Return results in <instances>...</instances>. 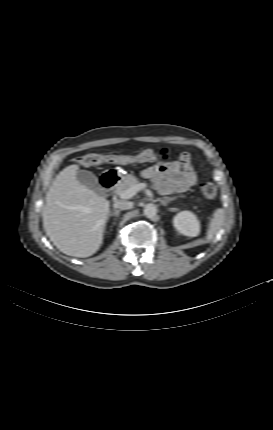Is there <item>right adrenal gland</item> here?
<instances>
[{
	"instance_id": "2a0ac1e0",
	"label": "right adrenal gland",
	"mask_w": 273,
	"mask_h": 430,
	"mask_svg": "<svg viewBox=\"0 0 273 430\" xmlns=\"http://www.w3.org/2000/svg\"><path fill=\"white\" fill-rule=\"evenodd\" d=\"M120 214V210L114 209L113 212H109L107 219H109L110 217H119Z\"/></svg>"
}]
</instances>
